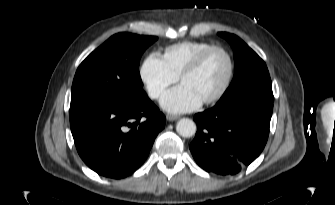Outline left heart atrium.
<instances>
[{
	"mask_svg": "<svg viewBox=\"0 0 335 205\" xmlns=\"http://www.w3.org/2000/svg\"><path fill=\"white\" fill-rule=\"evenodd\" d=\"M201 103V99L184 84L171 89L161 99V106L172 113L191 111Z\"/></svg>",
	"mask_w": 335,
	"mask_h": 205,
	"instance_id": "obj_1",
	"label": "left heart atrium"
}]
</instances>
